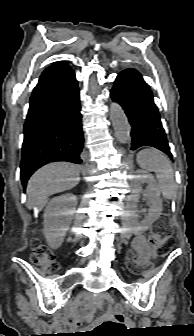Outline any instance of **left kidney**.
I'll return each mask as SVG.
<instances>
[{"label":"left kidney","instance_id":"left-kidney-1","mask_svg":"<svg viewBox=\"0 0 194 336\" xmlns=\"http://www.w3.org/2000/svg\"><path fill=\"white\" fill-rule=\"evenodd\" d=\"M147 183L145 196L148 199V213L145 218L138 222V211L136 210L139 194L142 192L141 185ZM130 207V217L134 226L139 231H146L160 216L162 202L160 199V188L152 174L137 170V174L132 178V194L128 197Z\"/></svg>","mask_w":194,"mask_h":336}]
</instances>
